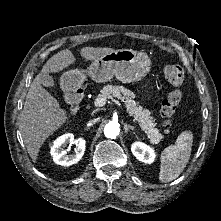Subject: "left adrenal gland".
<instances>
[{
    "label": "left adrenal gland",
    "instance_id": "1",
    "mask_svg": "<svg viewBox=\"0 0 221 221\" xmlns=\"http://www.w3.org/2000/svg\"><path fill=\"white\" fill-rule=\"evenodd\" d=\"M134 131V126H132V125H128L127 123H125L124 124V131H125V133L127 134L128 133V131Z\"/></svg>",
    "mask_w": 221,
    "mask_h": 221
}]
</instances>
